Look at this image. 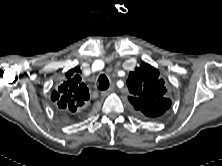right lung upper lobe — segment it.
<instances>
[{"mask_svg":"<svg viewBox=\"0 0 222 166\" xmlns=\"http://www.w3.org/2000/svg\"><path fill=\"white\" fill-rule=\"evenodd\" d=\"M80 69L75 67L66 73L65 80L52 94V100L58 105L60 112L72 116L75 111H80L81 106L89 99V91L79 76Z\"/></svg>","mask_w":222,"mask_h":166,"instance_id":"obj_1","label":"right lung upper lobe"}]
</instances>
